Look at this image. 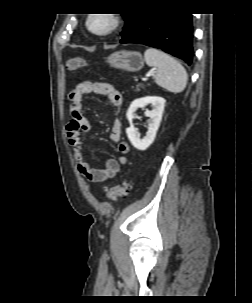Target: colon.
I'll return each mask as SVG.
<instances>
[{"mask_svg":"<svg viewBox=\"0 0 252 303\" xmlns=\"http://www.w3.org/2000/svg\"><path fill=\"white\" fill-rule=\"evenodd\" d=\"M87 65V61L83 58H72L66 63V67L69 71H75L77 69L84 68ZM129 188V183L127 181H123L116 186L105 187L104 193L109 200H117L125 197L129 191Z\"/></svg>","mask_w":252,"mask_h":303,"instance_id":"obj_1","label":"colon"}]
</instances>
